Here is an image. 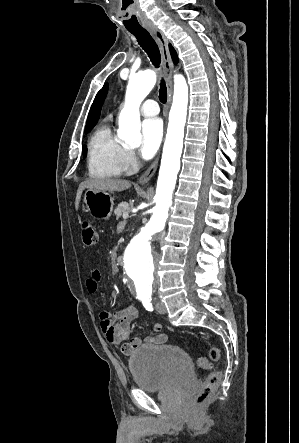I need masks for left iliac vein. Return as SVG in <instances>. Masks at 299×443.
<instances>
[{"label": "left iliac vein", "instance_id": "obj_1", "mask_svg": "<svg viewBox=\"0 0 299 443\" xmlns=\"http://www.w3.org/2000/svg\"><path fill=\"white\" fill-rule=\"evenodd\" d=\"M156 309L160 314H165L166 313V307L162 302H158L156 305Z\"/></svg>", "mask_w": 299, "mask_h": 443}]
</instances>
